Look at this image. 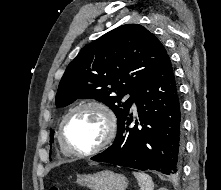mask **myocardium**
I'll return each instance as SVG.
<instances>
[{
    "instance_id": "obj_1",
    "label": "myocardium",
    "mask_w": 221,
    "mask_h": 190,
    "mask_svg": "<svg viewBox=\"0 0 221 190\" xmlns=\"http://www.w3.org/2000/svg\"><path fill=\"white\" fill-rule=\"evenodd\" d=\"M83 108H95L99 111H101L105 117L106 120V131L104 134L103 139L99 144L94 146L91 149L80 151L77 150L73 147H71L65 140L64 138V129H65V124L69 117L76 111L83 109ZM117 118L112 110V108L106 104L105 102L99 101V100H88V101H83L78 103L77 105L73 106L70 108L65 115L62 117L59 128H58V139L59 143L64 149L66 153L69 155L73 156H78V157H87L94 155L96 153H99L100 151H103L106 149L114 140L116 134H117Z\"/></svg>"
}]
</instances>
